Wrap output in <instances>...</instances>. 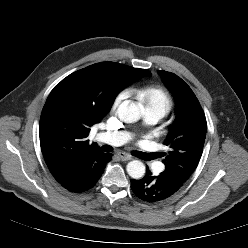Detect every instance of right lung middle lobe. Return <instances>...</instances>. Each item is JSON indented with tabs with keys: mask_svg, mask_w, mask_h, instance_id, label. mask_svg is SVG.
Masks as SVG:
<instances>
[{
	"mask_svg": "<svg viewBox=\"0 0 248 248\" xmlns=\"http://www.w3.org/2000/svg\"><path fill=\"white\" fill-rule=\"evenodd\" d=\"M150 72L145 69H137L130 66H123L120 69L119 76L120 78L125 81L127 84L137 80L138 78L148 75Z\"/></svg>",
	"mask_w": 248,
	"mask_h": 248,
	"instance_id": "obj_1",
	"label": "right lung middle lobe"
}]
</instances>
